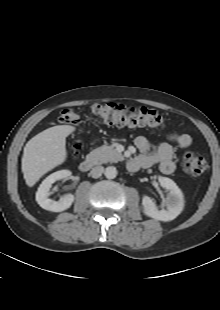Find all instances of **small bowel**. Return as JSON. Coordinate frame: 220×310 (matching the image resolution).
<instances>
[{"instance_id":"1","label":"small bowel","mask_w":220,"mask_h":310,"mask_svg":"<svg viewBox=\"0 0 220 310\" xmlns=\"http://www.w3.org/2000/svg\"><path fill=\"white\" fill-rule=\"evenodd\" d=\"M191 144L192 138L189 134L173 132L168 135L167 142L159 143L155 150L152 151L149 140L144 136H138L135 139V145L141 154L136 158V170L158 165L162 173L172 174L176 168L173 160L174 145L179 148H187Z\"/></svg>"}]
</instances>
